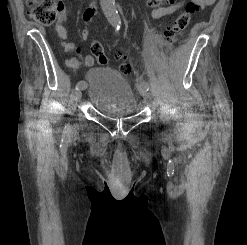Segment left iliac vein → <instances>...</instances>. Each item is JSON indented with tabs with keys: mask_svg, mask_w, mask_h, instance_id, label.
<instances>
[{
	"mask_svg": "<svg viewBox=\"0 0 247 245\" xmlns=\"http://www.w3.org/2000/svg\"><path fill=\"white\" fill-rule=\"evenodd\" d=\"M139 92L141 96L144 98L145 101H148L150 99V94L147 89V85L140 84L138 86Z\"/></svg>",
	"mask_w": 247,
	"mask_h": 245,
	"instance_id": "1",
	"label": "left iliac vein"
}]
</instances>
